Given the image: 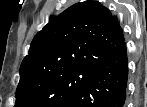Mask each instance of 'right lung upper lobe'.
I'll use <instances>...</instances> for the list:
<instances>
[{"instance_id": "obj_1", "label": "right lung upper lobe", "mask_w": 147, "mask_h": 107, "mask_svg": "<svg viewBox=\"0 0 147 107\" xmlns=\"http://www.w3.org/2000/svg\"><path fill=\"white\" fill-rule=\"evenodd\" d=\"M124 41L117 18L106 7L93 0L77 3L35 35L20 75L73 66L98 68Z\"/></svg>"}]
</instances>
